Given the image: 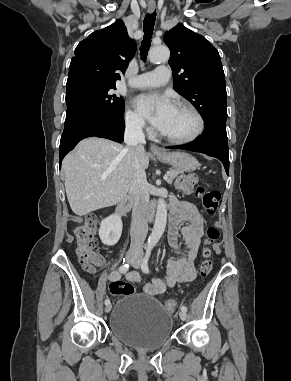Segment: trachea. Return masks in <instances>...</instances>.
Instances as JSON below:
<instances>
[{"label":"trachea","mask_w":291,"mask_h":381,"mask_svg":"<svg viewBox=\"0 0 291 381\" xmlns=\"http://www.w3.org/2000/svg\"><path fill=\"white\" fill-rule=\"evenodd\" d=\"M155 21H156V11H154L152 14H146L143 21L144 37H143L142 45L140 47V55L143 61H145L147 58Z\"/></svg>","instance_id":"trachea-1"}]
</instances>
